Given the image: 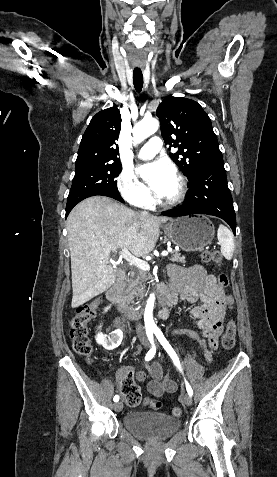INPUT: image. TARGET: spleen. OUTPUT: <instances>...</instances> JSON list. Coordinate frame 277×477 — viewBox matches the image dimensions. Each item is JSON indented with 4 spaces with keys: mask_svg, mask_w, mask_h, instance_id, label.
I'll return each mask as SVG.
<instances>
[{
    "mask_svg": "<svg viewBox=\"0 0 277 477\" xmlns=\"http://www.w3.org/2000/svg\"><path fill=\"white\" fill-rule=\"evenodd\" d=\"M217 237L221 245L222 255L227 260H231L234 252V237L231 231L224 225H219Z\"/></svg>",
    "mask_w": 277,
    "mask_h": 477,
    "instance_id": "1",
    "label": "spleen"
}]
</instances>
